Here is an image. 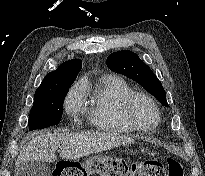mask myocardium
I'll return each mask as SVG.
<instances>
[{
  "instance_id": "f54148a6",
  "label": "myocardium",
  "mask_w": 205,
  "mask_h": 176,
  "mask_svg": "<svg viewBox=\"0 0 205 176\" xmlns=\"http://www.w3.org/2000/svg\"><path fill=\"white\" fill-rule=\"evenodd\" d=\"M139 98H141V99L145 100L146 102H148L151 105V107L154 109V111L156 113V116H157V121L154 125H152V126H142V125H139L133 119L132 105L135 102V100H137ZM122 111H123V116H124L125 120L135 130H138V131H149L151 128L158 126L161 122V111H160L157 103L155 102V100L150 95H148L147 93L142 92V91H133L130 94H128L123 100Z\"/></svg>"
}]
</instances>
